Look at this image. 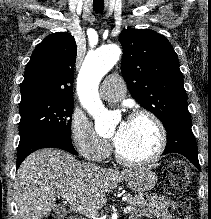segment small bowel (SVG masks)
Masks as SVG:
<instances>
[{
	"instance_id": "obj_1",
	"label": "small bowel",
	"mask_w": 211,
	"mask_h": 219,
	"mask_svg": "<svg viewBox=\"0 0 211 219\" xmlns=\"http://www.w3.org/2000/svg\"><path fill=\"white\" fill-rule=\"evenodd\" d=\"M171 219L166 200L161 196H151L146 205L137 209L131 219Z\"/></svg>"
}]
</instances>
